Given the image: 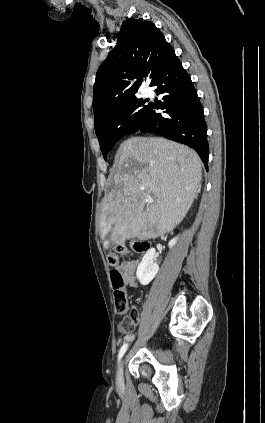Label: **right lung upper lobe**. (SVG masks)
Segmentation results:
<instances>
[{
	"instance_id": "right-lung-upper-lobe-1",
	"label": "right lung upper lobe",
	"mask_w": 265,
	"mask_h": 423,
	"mask_svg": "<svg viewBox=\"0 0 265 423\" xmlns=\"http://www.w3.org/2000/svg\"><path fill=\"white\" fill-rule=\"evenodd\" d=\"M176 57L163 34L150 21L127 19L117 44L97 71L93 90L94 121L135 96L143 77L150 85Z\"/></svg>"
}]
</instances>
